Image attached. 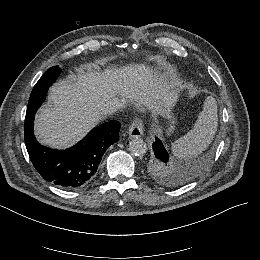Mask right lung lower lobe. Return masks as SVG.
Listing matches in <instances>:
<instances>
[{"label":"right lung lower lobe","instance_id":"obj_1","mask_svg":"<svg viewBox=\"0 0 260 260\" xmlns=\"http://www.w3.org/2000/svg\"><path fill=\"white\" fill-rule=\"evenodd\" d=\"M34 115L25 117L24 137L30 159L39 174L66 190L91 183L105 150L118 141L120 123L115 120L103 123L72 148L58 151L37 142L33 134Z\"/></svg>","mask_w":260,"mask_h":260}]
</instances>
